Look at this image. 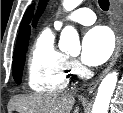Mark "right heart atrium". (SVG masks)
Returning a JSON list of instances; mask_svg holds the SVG:
<instances>
[{
	"instance_id": "obj_1",
	"label": "right heart atrium",
	"mask_w": 123,
	"mask_h": 113,
	"mask_svg": "<svg viewBox=\"0 0 123 113\" xmlns=\"http://www.w3.org/2000/svg\"><path fill=\"white\" fill-rule=\"evenodd\" d=\"M69 67L71 69V72L74 74H79L82 70L80 64L74 59L69 60Z\"/></svg>"
}]
</instances>
